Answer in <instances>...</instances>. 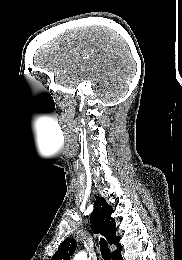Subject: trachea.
<instances>
[{
    "label": "trachea",
    "instance_id": "3493384b",
    "mask_svg": "<svg viewBox=\"0 0 182 260\" xmlns=\"http://www.w3.org/2000/svg\"><path fill=\"white\" fill-rule=\"evenodd\" d=\"M99 244L102 258L104 260H111V253L106 240L104 238H101Z\"/></svg>",
    "mask_w": 182,
    "mask_h": 260
}]
</instances>
